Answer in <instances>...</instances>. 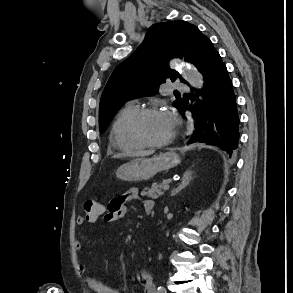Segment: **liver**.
I'll use <instances>...</instances> for the list:
<instances>
[{
  "label": "liver",
  "mask_w": 293,
  "mask_h": 293,
  "mask_svg": "<svg viewBox=\"0 0 293 293\" xmlns=\"http://www.w3.org/2000/svg\"><path fill=\"white\" fill-rule=\"evenodd\" d=\"M153 152L151 151H144V152H140L139 156H148L151 155ZM123 155L122 154H116L113 156V158H121Z\"/></svg>",
  "instance_id": "liver-1"
}]
</instances>
